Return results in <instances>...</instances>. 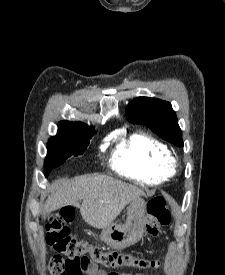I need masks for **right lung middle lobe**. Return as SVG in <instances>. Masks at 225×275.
I'll list each match as a JSON object with an SVG mask.
<instances>
[{
  "label": "right lung middle lobe",
  "instance_id": "dd1d6c3e",
  "mask_svg": "<svg viewBox=\"0 0 225 275\" xmlns=\"http://www.w3.org/2000/svg\"><path fill=\"white\" fill-rule=\"evenodd\" d=\"M94 134L91 127L59 125L55 137L48 141L45 176L70 156L82 155Z\"/></svg>",
  "mask_w": 225,
  "mask_h": 275
}]
</instances>
